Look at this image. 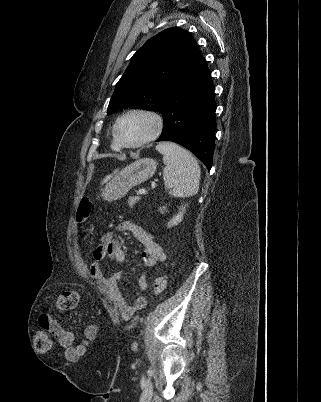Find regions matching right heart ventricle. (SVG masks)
Segmentation results:
<instances>
[{"mask_svg":"<svg viewBox=\"0 0 321 402\" xmlns=\"http://www.w3.org/2000/svg\"><path fill=\"white\" fill-rule=\"evenodd\" d=\"M111 148H112L114 151H119V150L121 149V148L119 147V145L117 144V142H116L114 136H113L112 141H111Z\"/></svg>","mask_w":321,"mask_h":402,"instance_id":"right-heart-ventricle-1","label":"right heart ventricle"}]
</instances>
